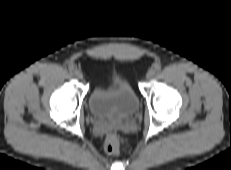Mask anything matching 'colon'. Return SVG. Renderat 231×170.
I'll return each mask as SVG.
<instances>
[{
    "mask_svg": "<svg viewBox=\"0 0 231 170\" xmlns=\"http://www.w3.org/2000/svg\"><path fill=\"white\" fill-rule=\"evenodd\" d=\"M125 143V138L115 132L110 134L105 141V150L110 154H116L120 151L121 147Z\"/></svg>",
    "mask_w": 231,
    "mask_h": 170,
    "instance_id": "colon-1",
    "label": "colon"
}]
</instances>
